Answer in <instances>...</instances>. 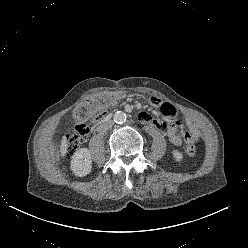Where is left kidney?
Masks as SVG:
<instances>
[{
    "mask_svg": "<svg viewBox=\"0 0 248 248\" xmlns=\"http://www.w3.org/2000/svg\"><path fill=\"white\" fill-rule=\"evenodd\" d=\"M172 155L176 161H181L183 159V154L179 150H173Z\"/></svg>",
    "mask_w": 248,
    "mask_h": 248,
    "instance_id": "1",
    "label": "left kidney"
}]
</instances>
